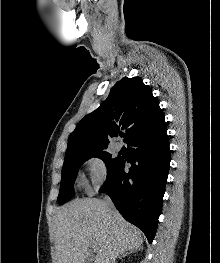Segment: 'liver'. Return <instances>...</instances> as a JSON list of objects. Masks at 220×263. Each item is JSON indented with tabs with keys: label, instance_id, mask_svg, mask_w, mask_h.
<instances>
[{
	"label": "liver",
	"instance_id": "1",
	"mask_svg": "<svg viewBox=\"0 0 220 263\" xmlns=\"http://www.w3.org/2000/svg\"><path fill=\"white\" fill-rule=\"evenodd\" d=\"M55 263H114L119 254L143 243L140 230L114 209L107 212L103 200L76 199L56 212L54 219ZM94 249V248H93Z\"/></svg>",
	"mask_w": 220,
	"mask_h": 263
}]
</instances>
